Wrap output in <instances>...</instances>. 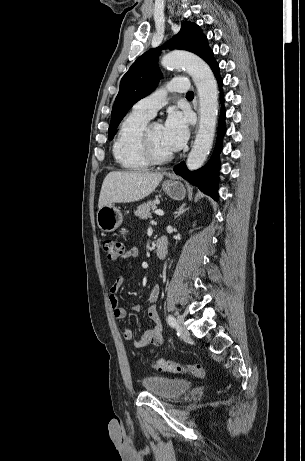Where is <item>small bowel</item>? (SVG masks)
I'll list each match as a JSON object with an SVG mask.
<instances>
[{"label":"small bowel","instance_id":"small-bowel-1","mask_svg":"<svg viewBox=\"0 0 305 461\" xmlns=\"http://www.w3.org/2000/svg\"><path fill=\"white\" fill-rule=\"evenodd\" d=\"M138 255L139 249L136 246H132L124 252L122 259H135L138 257ZM119 269L122 271V275L116 279V281L110 288L109 303L112 308L113 315L117 319H123L128 315L129 312H139L141 310V306L134 305L129 310L120 306L117 298V292L126 282H128L131 279V274L129 273L128 269L124 266H120ZM159 293L160 288L158 285H155L151 289L150 295L148 297V317L152 323V327L149 330H147L141 337L134 340L133 344L135 348L140 349L147 346L159 347L164 343V334L156 305ZM123 336L126 340H133L134 332L132 329L126 328L123 332ZM154 351L155 350L153 348L149 349L150 353H153Z\"/></svg>","mask_w":305,"mask_h":461}]
</instances>
